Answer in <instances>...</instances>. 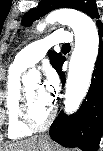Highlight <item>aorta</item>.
I'll return each instance as SVG.
<instances>
[{"label":"aorta","instance_id":"aorta-1","mask_svg":"<svg viewBox=\"0 0 103 151\" xmlns=\"http://www.w3.org/2000/svg\"><path fill=\"white\" fill-rule=\"evenodd\" d=\"M59 22L70 26L75 35V47L69 63L65 92V112H75L85 98L90 87L92 72L99 51V35L93 20L86 14L60 9L47 15L45 22L37 26L43 31L47 24Z\"/></svg>","mask_w":103,"mask_h":151}]
</instances>
